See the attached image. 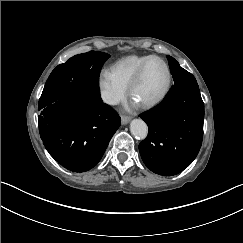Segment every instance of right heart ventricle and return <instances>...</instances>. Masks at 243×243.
Returning <instances> with one entry per match:
<instances>
[{
	"label": "right heart ventricle",
	"mask_w": 243,
	"mask_h": 243,
	"mask_svg": "<svg viewBox=\"0 0 243 243\" xmlns=\"http://www.w3.org/2000/svg\"><path fill=\"white\" fill-rule=\"evenodd\" d=\"M155 57L153 54H130L116 60L112 68L122 85L126 88L136 74L139 66L146 60Z\"/></svg>",
	"instance_id": "obj_1"
}]
</instances>
